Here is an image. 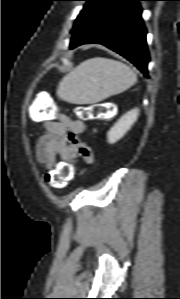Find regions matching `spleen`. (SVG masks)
Masks as SVG:
<instances>
[{
    "label": "spleen",
    "instance_id": "obj_1",
    "mask_svg": "<svg viewBox=\"0 0 180 299\" xmlns=\"http://www.w3.org/2000/svg\"><path fill=\"white\" fill-rule=\"evenodd\" d=\"M137 80L126 64L102 57L80 63L63 77L57 94L72 104H92L130 88Z\"/></svg>",
    "mask_w": 180,
    "mask_h": 299
}]
</instances>
